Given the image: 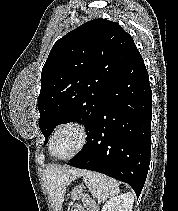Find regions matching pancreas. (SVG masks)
I'll return each instance as SVG.
<instances>
[{"label":"pancreas","instance_id":"pancreas-1","mask_svg":"<svg viewBox=\"0 0 178 211\" xmlns=\"http://www.w3.org/2000/svg\"><path fill=\"white\" fill-rule=\"evenodd\" d=\"M93 206H94L95 208H97V207L95 206V204H93Z\"/></svg>","mask_w":178,"mask_h":211}]
</instances>
